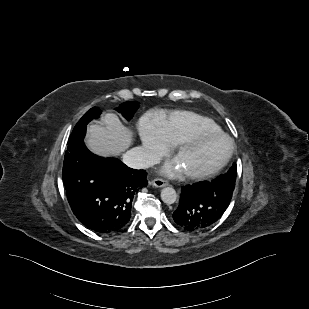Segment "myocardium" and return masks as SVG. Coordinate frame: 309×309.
<instances>
[{"label":"myocardium","mask_w":309,"mask_h":309,"mask_svg":"<svg viewBox=\"0 0 309 309\" xmlns=\"http://www.w3.org/2000/svg\"><path fill=\"white\" fill-rule=\"evenodd\" d=\"M204 138H223L228 143V149L224 157L221 161L215 165L213 168L206 170V171H198V172H184L186 178L190 180H205L211 178L218 174L230 161L233 152H234V143L232 139L225 133L221 132H212V131H196L180 141L176 144L174 149V155L177 156L181 151L184 149L192 146L196 142Z\"/></svg>","instance_id":"f54148a6"}]
</instances>
